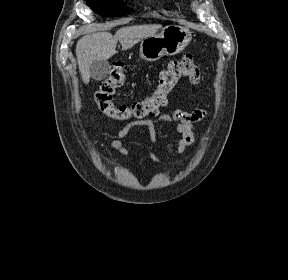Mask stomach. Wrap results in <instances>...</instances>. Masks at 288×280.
I'll return each mask as SVG.
<instances>
[{"label": "stomach", "mask_w": 288, "mask_h": 280, "mask_svg": "<svg viewBox=\"0 0 288 280\" xmlns=\"http://www.w3.org/2000/svg\"><path fill=\"white\" fill-rule=\"evenodd\" d=\"M188 28L179 25H169L161 33L142 39L140 57L145 61H157L167 55L180 53L191 41Z\"/></svg>", "instance_id": "stomach-1"}]
</instances>
